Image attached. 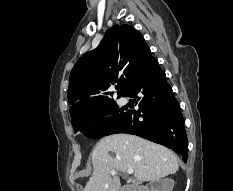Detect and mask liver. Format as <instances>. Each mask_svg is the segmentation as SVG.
<instances>
[{
    "instance_id": "1",
    "label": "liver",
    "mask_w": 233,
    "mask_h": 191,
    "mask_svg": "<svg viewBox=\"0 0 233 191\" xmlns=\"http://www.w3.org/2000/svg\"><path fill=\"white\" fill-rule=\"evenodd\" d=\"M93 173L84 191H119V176L112 170H134L138 181H157L177 172L178 158L168 148L141 137L114 134L102 138L91 153Z\"/></svg>"
}]
</instances>
